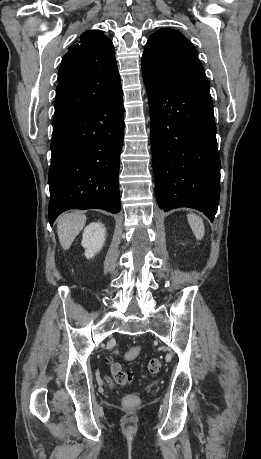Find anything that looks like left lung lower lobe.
Returning <instances> with one entry per match:
<instances>
[{"label": "left lung lower lobe", "mask_w": 261, "mask_h": 459, "mask_svg": "<svg viewBox=\"0 0 261 459\" xmlns=\"http://www.w3.org/2000/svg\"><path fill=\"white\" fill-rule=\"evenodd\" d=\"M142 73L157 203L165 212L194 208L213 221L220 196V159L210 89L177 86Z\"/></svg>", "instance_id": "left-lung-lower-lobe-1"}]
</instances>
